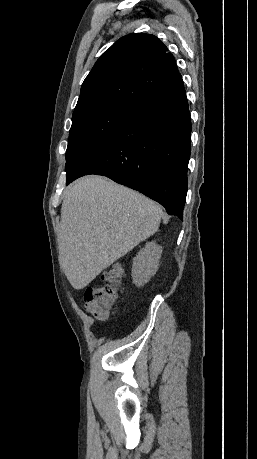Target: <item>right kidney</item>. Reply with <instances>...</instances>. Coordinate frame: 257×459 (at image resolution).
Wrapping results in <instances>:
<instances>
[{
    "label": "right kidney",
    "instance_id": "right-kidney-1",
    "mask_svg": "<svg viewBox=\"0 0 257 459\" xmlns=\"http://www.w3.org/2000/svg\"><path fill=\"white\" fill-rule=\"evenodd\" d=\"M161 254V246L154 241L146 243L145 248L140 250L132 265V279L136 286H143L155 275Z\"/></svg>",
    "mask_w": 257,
    "mask_h": 459
}]
</instances>
